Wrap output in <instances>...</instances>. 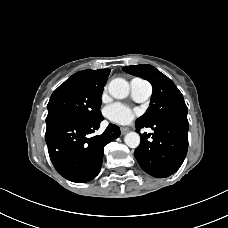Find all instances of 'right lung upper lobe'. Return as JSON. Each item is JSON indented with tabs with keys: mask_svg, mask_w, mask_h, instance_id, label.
<instances>
[{
	"mask_svg": "<svg viewBox=\"0 0 228 228\" xmlns=\"http://www.w3.org/2000/svg\"><path fill=\"white\" fill-rule=\"evenodd\" d=\"M109 73L110 69L83 70L72 75L70 79L89 87L105 86Z\"/></svg>",
	"mask_w": 228,
	"mask_h": 228,
	"instance_id": "obj_1",
	"label": "right lung upper lobe"
}]
</instances>
